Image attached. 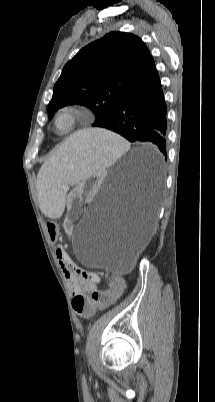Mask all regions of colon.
Returning a JSON list of instances; mask_svg holds the SVG:
<instances>
[{
  "instance_id": "1",
  "label": "colon",
  "mask_w": 215,
  "mask_h": 402,
  "mask_svg": "<svg viewBox=\"0 0 215 402\" xmlns=\"http://www.w3.org/2000/svg\"><path fill=\"white\" fill-rule=\"evenodd\" d=\"M47 230L50 236V244L55 246L60 238L59 225L50 221L47 223ZM65 263L67 270L74 272L83 279H90L94 273L83 270L67 261H61ZM126 284L122 278H114L110 283V290H96L89 291V296L78 295L73 298L72 305L76 312L84 317H88L94 313L96 309H106L110 307L116 300V298H123L125 296Z\"/></svg>"
}]
</instances>
